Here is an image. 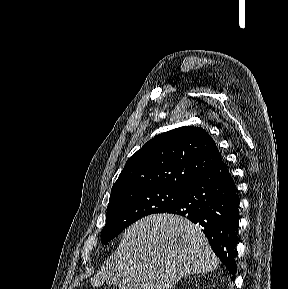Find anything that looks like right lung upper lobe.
<instances>
[{"label":"right lung upper lobe","mask_w":288,"mask_h":289,"mask_svg":"<svg viewBox=\"0 0 288 289\" xmlns=\"http://www.w3.org/2000/svg\"><path fill=\"white\" fill-rule=\"evenodd\" d=\"M221 161L214 140L204 129L176 128L152 138L128 159L111 195L132 189H186Z\"/></svg>","instance_id":"cb5924a9"}]
</instances>
